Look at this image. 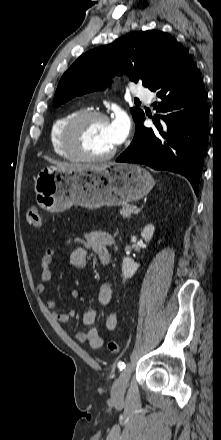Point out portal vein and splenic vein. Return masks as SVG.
<instances>
[{
	"label": "portal vein and splenic vein",
	"mask_w": 221,
	"mask_h": 440,
	"mask_svg": "<svg viewBox=\"0 0 221 440\" xmlns=\"http://www.w3.org/2000/svg\"><path fill=\"white\" fill-rule=\"evenodd\" d=\"M140 211H141V209H139V208L135 207V209H134L133 213H134V214H138V213H139Z\"/></svg>",
	"instance_id": "18ae733b"
}]
</instances>
